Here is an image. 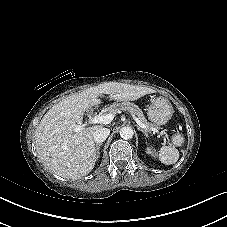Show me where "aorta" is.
Returning <instances> with one entry per match:
<instances>
[{
	"label": "aorta",
	"mask_w": 227,
	"mask_h": 227,
	"mask_svg": "<svg viewBox=\"0 0 227 227\" xmlns=\"http://www.w3.org/2000/svg\"><path fill=\"white\" fill-rule=\"evenodd\" d=\"M133 135H134V131L131 127L125 126L120 129V136L125 140L133 138Z\"/></svg>",
	"instance_id": "762f6f07"
}]
</instances>
